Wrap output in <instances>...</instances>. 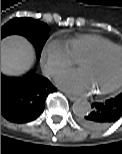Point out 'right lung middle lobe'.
Returning a JSON list of instances; mask_svg holds the SVG:
<instances>
[{
	"label": "right lung middle lobe",
	"instance_id": "right-lung-middle-lobe-1",
	"mask_svg": "<svg viewBox=\"0 0 122 154\" xmlns=\"http://www.w3.org/2000/svg\"><path fill=\"white\" fill-rule=\"evenodd\" d=\"M50 28L45 23L32 18H15L1 27V39L10 34H20L29 39L40 59L42 48L49 37Z\"/></svg>",
	"mask_w": 122,
	"mask_h": 154
}]
</instances>
